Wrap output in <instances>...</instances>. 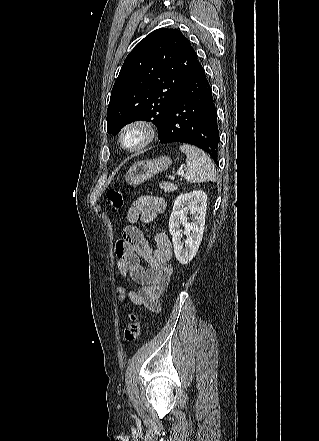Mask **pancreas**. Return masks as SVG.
I'll list each match as a JSON object with an SVG mask.
<instances>
[{"instance_id": "obj_1", "label": "pancreas", "mask_w": 319, "mask_h": 441, "mask_svg": "<svg viewBox=\"0 0 319 441\" xmlns=\"http://www.w3.org/2000/svg\"><path fill=\"white\" fill-rule=\"evenodd\" d=\"M159 187L165 192V193H171L177 190V185L171 183V182H161L159 184Z\"/></svg>"}]
</instances>
